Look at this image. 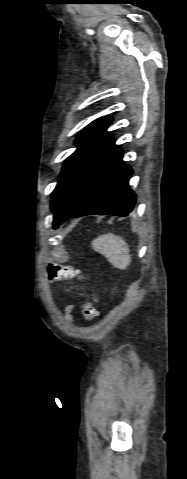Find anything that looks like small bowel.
<instances>
[{
    "instance_id": "small-bowel-1",
    "label": "small bowel",
    "mask_w": 187,
    "mask_h": 479,
    "mask_svg": "<svg viewBox=\"0 0 187 479\" xmlns=\"http://www.w3.org/2000/svg\"><path fill=\"white\" fill-rule=\"evenodd\" d=\"M72 310H73V306L71 305L67 306L64 310V317H65V320L68 322L74 321Z\"/></svg>"
}]
</instances>
